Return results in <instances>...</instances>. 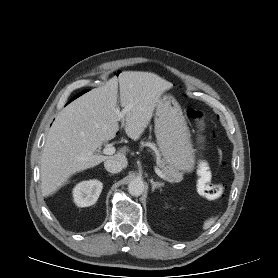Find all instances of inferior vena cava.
Returning <instances> with one entry per match:
<instances>
[{
    "label": "inferior vena cava",
    "mask_w": 278,
    "mask_h": 278,
    "mask_svg": "<svg viewBox=\"0 0 278 278\" xmlns=\"http://www.w3.org/2000/svg\"><path fill=\"white\" fill-rule=\"evenodd\" d=\"M104 167L108 172L118 173L123 169V165L115 160L109 159L104 162Z\"/></svg>",
    "instance_id": "obj_1"
}]
</instances>
